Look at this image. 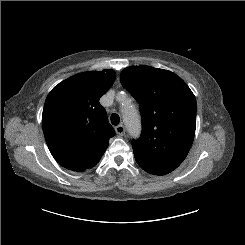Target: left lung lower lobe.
Listing matches in <instances>:
<instances>
[{
    "label": "left lung lower lobe",
    "instance_id": "0a47b994",
    "mask_svg": "<svg viewBox=\"0 0 245 245\" xmlns=\"http://www.w3.org/2000/svg\"><path fill=\"white\" fill-rule=\"evenodd\" d=\"M144 170L146 172H148V173H151V174H154V175H159V176L168 174V173L173 171V170H171L169 168H158V169H153V170L144 169Z\"/></svg>",
    "mask_w": 245,
    "mask_h": 245
}]
</instances>
